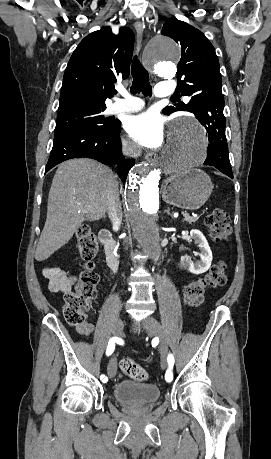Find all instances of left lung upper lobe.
Wrapping results in <instances>:
<instances>
[{
    "label": "left lung upper lobe",
    "mask_w": 271,
    "mask_h": 459,
    "mask_svg": "<svg viewBox=\"0 0 271 459\" xmlns=\"http://www.w3.org/2000/svg\"><path fill=\"white\" fill-rule=\"evenodd\" d=\"M161 34L181 45L176 92L191 97L188 104L180 102L168 106L163 113L189 111L198 120L218 116L225 118L219 61L210 41L200 30L177 18L166 21Z\"/></svg>",
    "instance_id": "1"
}]
</instances>
